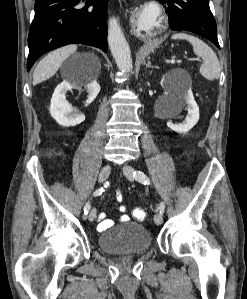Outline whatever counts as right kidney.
<instances>
[{
    "mask_svg": "<svg viewBox=\"0 0 247 299\" xmlns=\"http://www.w3.org/2000/svg\"><path fill=\"white\" fill-rule=\"evenodd\" d=\"M82 86L85 87L88 93L86 104L92 103L100 91V85L96 79H93ZM73 88L80 89L81 86L63 81L55 88L51 98L50 114L59 125L64 127L76 126L85 120V116L66 101V92Z\"/></svg>",
    "mask_w": 247,
    "mask_h": 299,
    "instance_id": "1",
    "label": "right kidney"
}]
</instances>
